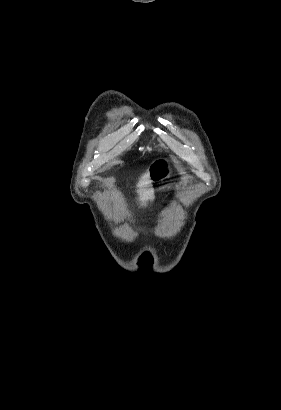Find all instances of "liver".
I'll use <instances>...</instances> for the list:
<instances>
[{"instance_id":"obj_1","label":"liver","mask_w":281,"mask_h":410,"mask_svg":"<svg viewBox=\"0 0 281 410\" xmlns=\"http://www.w3.org/2000/svg\"><path fill=\"white\" fill-rule=\"evenodd\" d=\"M151 183L149 173L146 172L144 173L138 184L137 187L139 188L138 194H139V200L141 201L142 205H146V202L149 200V194L146 191V187Z\"/></svg>"}]
</instances>
